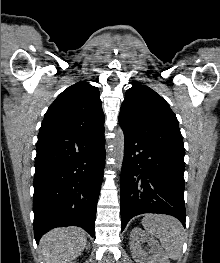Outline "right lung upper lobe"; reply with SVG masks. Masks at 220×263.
Listing matches in <instances>:
<instances>
[{
  "label": "right lung upper lobe",
  "instance_id": "obj_1",
  "mask_svg": "<svg viewBox=\"0 0 220 263\" xmlns=\"http://www.w3.org/2000/svg\"><path fill=\"white\" fill-rule=\"evenodd\" d=\"M104 129V114L97 87L78 82L48 108L38 135V142L66 140Z\"/></svg>",
  "mask_w": 220,
  "mask_h": 263
}]
</instances>
